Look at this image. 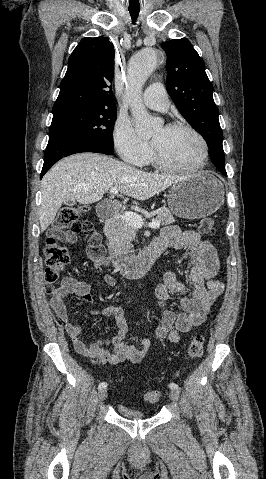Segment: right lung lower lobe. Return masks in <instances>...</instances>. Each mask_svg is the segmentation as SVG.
Segmentation results:
<instances>
[{
    "instance_id": "obj_1",
    "label": "right lung lower lobe",
    "mask_w": 266,
    "mask_h": 479,
    "mask_svg": "<svg viewBox=\"0 0 266 479\" xmlns=\"http://www.w3.org/2000/svg\"><path fill=\"white\" fill-rule=\"evenodd\" d=\"M80 152H95L111 155L113 149L89 140L62 135H51L45 151L40 179L58 160Z\"/></svg>"
}]
</instances>
